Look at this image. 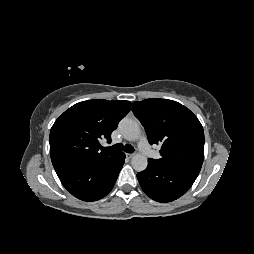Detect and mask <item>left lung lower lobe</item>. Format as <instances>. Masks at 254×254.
I'll list each match as a JSON object with an SVG mask.
<instances>
[{"label":"left lung lower lobe","mask_w":254,"mask_h":254,"mask_svg":"<svg viewBox=\"0 0 254 254\" xmlns=\"http://www.w3.org/2000/svg\"><path fill=\"white\" fill-rule=\"evenodd\" d=\"M199 173L163 167L148 159L147 168L137 174L143 191L153 200L170 202L187 192Z\"/></svg>","instance_id":"0a47b994"}]
</instances>
